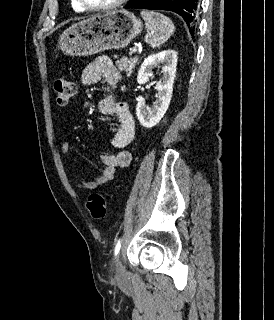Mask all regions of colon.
<instances>
[{
  "mask_svg": "<svg viewBox=\"0 0 274 320\" xmlns=\"http://www.w3.org/2000/svg\"><path fill=\"white\" fill-rule=\"evenodd\" d=\"M54 95L58 105H66L74 92V85L68 78L59 76L53 82ZM86 209L94 220H102L106 215L107 202L99 193H94L86 200Z\"/></svg>",
  "mask_w": 274,
  "mask_h": 320,
  "instance_id": "colon-1",
  "label": "colon"
}]
</instances>
